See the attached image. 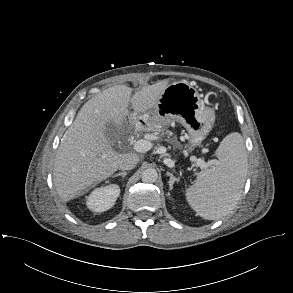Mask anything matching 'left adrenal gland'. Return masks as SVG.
I'll use <instances>...</instances> for the list:
<instances>
[{
	"mask_svg": "<svg viewBox=\"0 0 293 293\" xmlns=\"http://www.w3.org/2000/svg\"><path fill=\"white\" fill-rule=\"evenodd\" d=\"M167 176L170 177L169 179V189L172 190L173 189V185L175 182H179V178H176L172 173L167 172Z\"/></svg>",
	"mask_w": 293,
	"mask_h": 293,
	"instance_id": "1",
	"label": "left adrenal gland"
}]
</instances>
